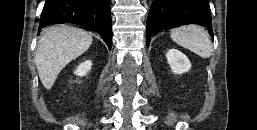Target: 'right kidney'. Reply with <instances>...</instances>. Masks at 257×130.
<instances>
[{
	"instance_id": "ca27d5eb",
	"label": "right kidney",
	"mask_w": 257,
	"mask_h": 130,
	"mask_svg": "<svg viewBox=\"0 0 257 130\" xmlns=\"http://www.w3.org/2000/svg\"><path fill=\"white\" fill-rule=\"evenodd\" d=\"M92 67V62L90 60H87L83 63H81L75 70V74L78 76H84L86 75Z\"/></svg>"
}]
</instances>
